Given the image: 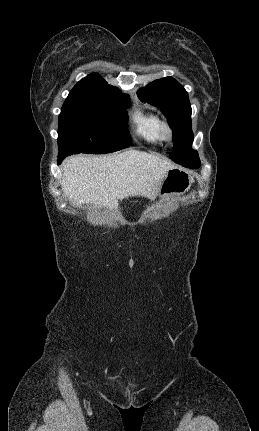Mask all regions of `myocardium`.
Here are the masks:
<instances>
[{
	"label": "myocardium",
	"mask_w": 259,
	"mask_h": 431,
	"mask_svg": "<svg viewBox=\"0 0 259 431\" xmlns=\"http://www.w3.org/2000/svg\"><path fill=\"white\" fill-rule=\"evenodd\" d=\"M159 135L160 139L168 141L173 136V130L167 121H161L159 125Z\"/></svg>",
	"instance_id": "obj_1"
}]
</instances>
